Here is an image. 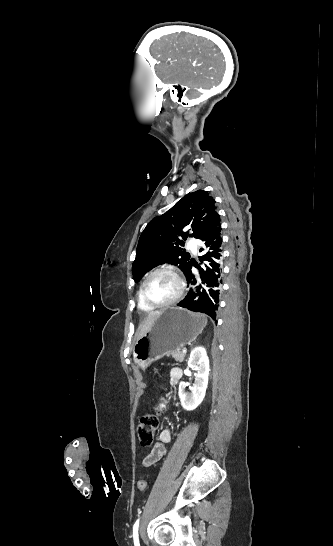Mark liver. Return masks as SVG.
<instances>
[{"label":"liver","instance_id":"1","mask_svg":"<svg viewBox=\"0 0 333 546\" xmlns=\"http://www.w3.org/2000/svg\"><path fill=\"white\" fill-rule=\"evenodd\" d=\"M163 311L164 310L154 311V312L149 313V315L145 318L144 322L142 323V325L139 328L138 339L148 332V330L150 329L152 323L155 321V319L158 316L161 315V313Z\"/></svg>","mask_w":333,"mask_h":546}]
</instances>
